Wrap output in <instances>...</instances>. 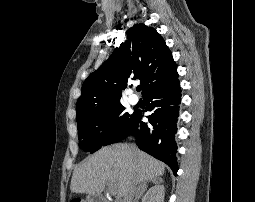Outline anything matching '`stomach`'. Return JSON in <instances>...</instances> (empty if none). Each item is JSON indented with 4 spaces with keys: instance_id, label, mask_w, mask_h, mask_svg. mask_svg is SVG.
Instances as JSON below:
<instances>
[{
    "instance_id": "stomach-1",
    "label": "stomach",
    "mask_w": 255,
    "mask_h": 202,
    "mask_svg": "<svg viewBox=\"0 0 255 202\" xmlns=\"http://www.w3.org/2000/svg\"><path fill=\"white\" fill-rule=\"evenodd\" d=\"M85 202H92V201H91L90 197H87Z\"/></svg>"
}]
</instances>
